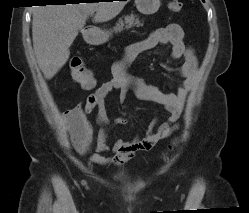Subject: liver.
<instances>
[{
  "mask_svg": "<svg viewBox=\"0 0 249 213\" xmlns=\"http://www.w3.org/2000/svg\"><path fill=\"white\" fill-rule=\"evenodd\" d=\"M125 1L36 6L33 9L32 38L37 63L44 77L52 79L69 59V48L88 15L95 22H107L124 8Z\"/></svg>",
  "mask_w": 249,
  "mask_h": 213,
  "instance_id": "6515ba94",
  "label": "liver"
}]
</instances>
